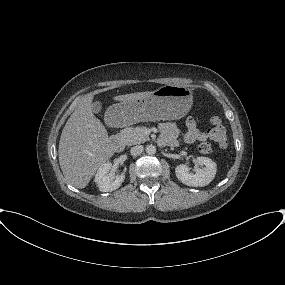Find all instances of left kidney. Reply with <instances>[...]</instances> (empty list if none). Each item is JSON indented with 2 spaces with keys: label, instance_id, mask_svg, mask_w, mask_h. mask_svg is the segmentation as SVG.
Wrapping results in <instances>:
<instances>
[{
  "label": "left kidney",
  "instance_id": "obj_1",
  "mask_svg": "<svg viewBox=\"0 0 285 285\" xmlns=\"http://www.w3.org/2000/svg\"><path fill=\"white\" fill-rule=\"evenodd\" d=\"M196 162L199 165H204L205 168H196L195 173H191L186 165H178L175 168L176 177L187 186H206L214 179L217 171V165L212 161V159L202 156L197 157Z\"/></svg>",
  "mask_w": 285,
  "mask_h": 285
}]
</instances>
